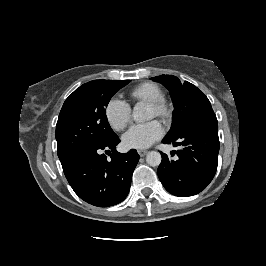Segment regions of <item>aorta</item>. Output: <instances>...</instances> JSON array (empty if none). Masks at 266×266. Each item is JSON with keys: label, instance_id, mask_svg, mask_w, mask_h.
I'll return each mask as SVG.
<instances>
[{"label": "aorta", "instance_id": "aorta-1", "mask_svg": "<svg viewBox=\"0 0 266 266\" xmlns=\"http://www.w3.org/2000/svg\"><path fill=\"white\" fill-rule=\"evenodd\" d=\"M133 119L136 122H144L148 120L149 115L146 110V107L143 103L139 102L137 103L134 108H133V113H132ZM161 154L157 151H150L146 155V162L150 166H159L161 163Z\"/></svg>", "mask_w": 266, "mask_h": 266}]
</instances>
